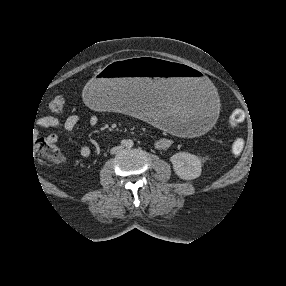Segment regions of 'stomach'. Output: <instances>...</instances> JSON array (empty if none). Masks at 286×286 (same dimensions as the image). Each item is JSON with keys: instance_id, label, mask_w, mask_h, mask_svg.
Masks as SVG:
<instances>
[{"instance_id": "stomach-1", "label": "stomach", "mask_w": 286, "mask_h": 286, "mask_svg": "<svg viewBox=\"0 0 286 286\" xmlns=\"http://www.w3.org/2000/svg\"><path fill=\"white\" fill-rule=\"evenodd\" d=\"M83 97L97 113L123 110L179 138L207 133L219 115L209 77L165 58L119 57L87 79Z\"/></svg>"}]
</instances>
